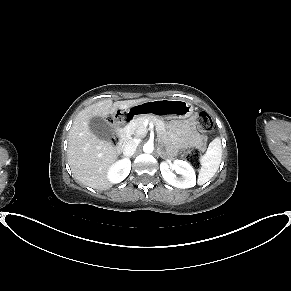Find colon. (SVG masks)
Here are the masks:
<instances>
[{"mask_svg": "<svg viewBox=\"0 0 291 291\" xmlns=\"http://www.w3.org/2000/svg\"><path fill=\"white\" fill-rule=\"evenodd\" d=\"M125 115V112L118 111L116 114L111 116V120L114 123L120 122ZM197 131L201 134L210 132L214 128V122L207 113H201L197 119ZM112 144L117 146L120 144V137L118 131L114 130L112 135ZM182 157L192 165H197L199 162L200 152L196 148H188L182 151Z\"/></svg>", "mask_w": 291, "mask_h": 291, "instance_id": "obj_1", "label": "colon"}]
</instances>
